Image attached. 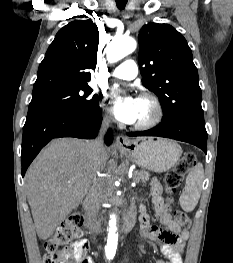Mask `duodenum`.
Returning a JSON list of instances; mask_svg holds the SVG:
<instances>
[{"label":"duodenum","instance_id":"410a0bca","mask_svg":"<svg viewBox=\"0 0 233 263\" xmlns=\"http://www.w3.org/2000/svg\"><path fill=\"white\" fill-rule=\"evenodd\" d=\"M87 221H86V227L91 233L96 232V225L91 220L90 216L87 214ZM136 221V210L135 208H131L130 211L126 214L123 221L122 230L124 233H128L133 228Z\"/></svg>","mask_w":233,"mask_h":263}]
</instances>
